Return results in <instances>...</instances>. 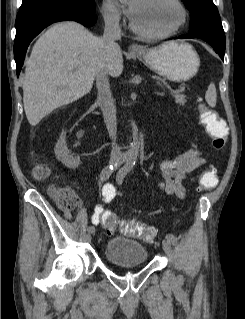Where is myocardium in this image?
<instances>
[{
	"label": "myocardium",
	"mask_w": 245,
	"mask_h": 319,
	"mask_svg": "<svg viewBox=\"0 0 245 319\" xmlns=\"http://www.w3.org/2000/svg\"><path fill=\"white\" fill-rule=\"evenodd\" d=\"M171 1L177 6L180 12V20L175 27L160 33H150V32L141 30L131 19L130 27L133 30V32L139 35L140 37L148 39V40L165 39L178 33L185 26L187 22V10L185 6L183 5V3L181 2V0H171Z\"/></svg>",
	"instance_id": "1"
}]
</instances>
